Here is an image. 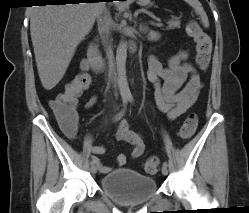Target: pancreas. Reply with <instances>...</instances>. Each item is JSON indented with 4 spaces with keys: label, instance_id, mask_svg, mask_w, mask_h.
Masks as SVG:
<instances>
[{
    "label": "pancreas",
    "instance_id": "cf45deb5",
    "mask_svg": "<svg viewBox=\"0 0 249 213\" xmlns=\"http://www.w3.org/2000/svg\"><path fill=\"white\" fill-rule=\"evenodd\" d=\"M169 24V29H175V28H180L181 22L179 20H171L168 22Z\"/></svg>",
    "mask_w": 249,
    "mask_h": 213
}]
</instances>
